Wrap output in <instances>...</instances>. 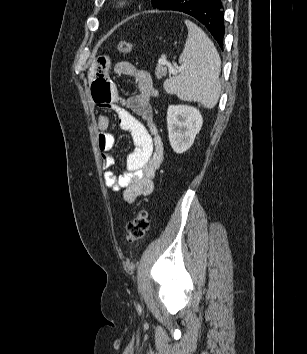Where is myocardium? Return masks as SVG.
Segmentation results:
<instances>
[{
  "instance_id": "f54148a6",
  "label": "myocardium",
  "mask_w": 307,
  "mask_h": 354,
  "mask_svg": "<svg viewBox=\"0 0 307 354\" xmlns=\"http://www.w3.org/2000/svg\"><path fill=\"white\" fill-rule=\"evenodd\" d=\"M127 2L128 0H117V4L119 7H123Z\"/></svg>"
}]
</instances>
